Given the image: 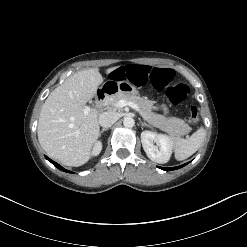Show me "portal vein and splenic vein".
I'll return each mask as SVG.
<instances>
[{"mask_svg":"<svg viewBox=\"0 0 247 247\" xmlns=\"http://www.w3.org/2000/svg\"><path fill=\"white\" fill-rule=\"evenodd\" d=\"M125 106H129V107L133 108L135 111H137L138 113H140L139 107L133 102H129L126 100H119L115 104V107H117V108H123ZM90 110H91V108L89 106H85L84 107V115H87L90 112Z\"/></svg>","mask_w":247,"mask_h":247,"instance_id":"portal-vein-and-splenic-vein-1","label":"portal vein and splenic vein"}]
</instances>
